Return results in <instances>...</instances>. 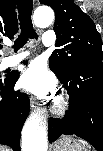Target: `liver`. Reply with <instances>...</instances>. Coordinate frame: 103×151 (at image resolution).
Wrapping results in <instances>:
<instances>
[{
  "mask_svg": "<svg viewBox=\"0 0 103 151\" xmlns=\"http://www.w3.org/2000/svg\"><path fill=\"white\" fill-rule=\"evenodd\" d=\"M1 151H10L9 148L5 147V148H1Z\"/></svg>",
  "mask_w": 103,
  "mask_h": 151,
  "instance_id": "liver-1",
  "label": "liver"
}]
</instances>
